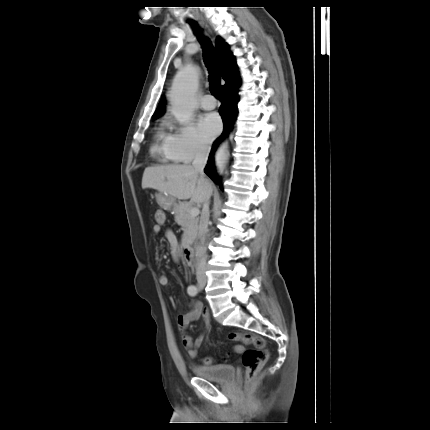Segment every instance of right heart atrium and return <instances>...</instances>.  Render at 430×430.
I'll use <instances>...</instances> for the list:
<instances>
[{"mask_svg": "<svg viewBox=\"0 0 430 430\" xmlns=\"http://www.w3.org/2000/svg\"><path fill=\"white\" fill-rule=\"evenodd\" d=\"M168 136V148L176 162L189 163L209 152V145L201 138L193 124L172 126Z\"/></svg>", "mask_w": 430, "mask_h": 430, "instance_id": "1", "label": "right heart atrium"}]
</instances>
